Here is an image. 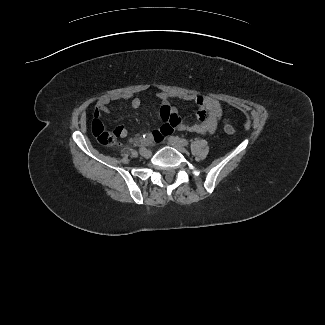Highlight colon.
<instances>
[{"instance_id": "5ec220e1", "label": "colon", "mask_w": 325, "mask_h": 325, "mask_svg": "<svg viewBox=\"0 0 325 325\" xmlns=\"http://www.w3.org/2000/svg\"><path fill=\"white\" fill-rule=\"evenodd\" d=\"M224 130L227 134L230 135L235 133L234 127L229 123H225ZM92 132L97 141L105 146L113 145L119 137V134L116 130H106L101 121L96 118L92 121Z\"/></svg>"}]
</instances>
